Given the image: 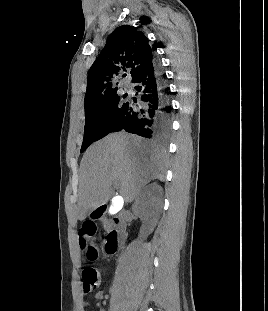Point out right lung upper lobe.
Segmentation results:
<instances>
[{"mask_svg":"<svg viewBox=\"0 0 268 311\" xmlns=\"http://www.w3.org/2000/svg\"><path fill=\"white\" fill-rule=\"evenodd\" d=\"M154 50L148 38L135 27L122 25L109 36L90 68L85 95V111L117 91L113 81L128 72L134 81L153 62Z\"/></svg>","mask_w":268,"mask_h":311,"instance_id":"obj_1","label":"right lung upper lobe"}]
</instances>
